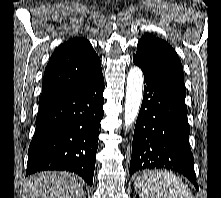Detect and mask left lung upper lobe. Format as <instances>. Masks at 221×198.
Wrapping results in <instances>:
<instances>
[{
  "mask_svg": "<svg viewBox=\"0 0 221 198\" xmlns=\"http://www.w3.org/2000/svg\"><path fill=\"white\" fill-rule=\"evenodd\" d=\"M133 59L180 97L185 98L182 65L175 50L167 42L152 34L144 35L138 42Z\"/></svg>",
  "mask_w": 221,
  "mask_h": 198,
  "instance_id": "left-lung-upper-lobe-1",
  "label": "left lung upper lobe"
}]
</instances>
